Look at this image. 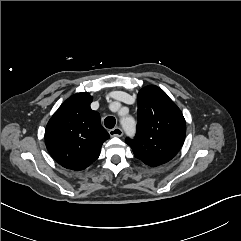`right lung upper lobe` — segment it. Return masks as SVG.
I'll return each instance as SVG.
<instances>
[{"mask_svg":"<svg viewBox=\"0 0 241 241\" xmlns=\"http://www.w3.org/2000/svg\"><path fill=\"white\" fill-rule=\"evenodd\" d=\"M92 96L76 93L67 99L49 120L45 144L63 167L83 170L98 157L109 134L101 126L100 115L90 108Z\"/></svg>","mask_w":241,"mask_h":241,"instance_id":"obj_1","label":"right lung upper lobe"}]
</instances>
